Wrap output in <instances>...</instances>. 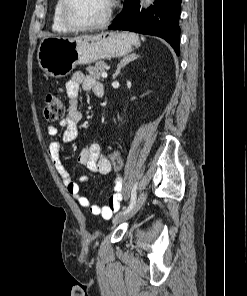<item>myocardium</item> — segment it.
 <instances>
[{
	"mask_svg": "<svg viewBox=\"0 0 247 296\" xmlns=\"http://www.w3.org/2000/svg\"><path fill=\"white\" fill-rule=\"evenodd\" d=\"M74 0H63L62 3V7H61V18L62 21L64 23V25L70 29L71 31H77V32H81V31H93V30H98L101 28L106 27L112 20V16H113V5L110 2V7L108 10L107 15L105 16V18L95 24H89V25H83V24H79L78 22H76L71 14V10L74 4Z\"/></svg>",
	"mask_w": 247,
	"mask_h": 296,
	"instance_id": "f54148a6",
	"label": "myocardium"
}]
</instances>
